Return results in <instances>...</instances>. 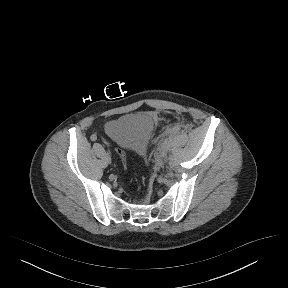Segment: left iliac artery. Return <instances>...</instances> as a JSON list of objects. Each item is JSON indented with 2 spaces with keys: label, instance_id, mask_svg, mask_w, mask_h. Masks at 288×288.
<instances>
[{
  "label": "left iliac artery",
  "instance_id": "obj_1",
  "mask_svg": "<svg viewBox=\"0 0 288 288\" xmlns=\"http://www.w3.org/2000/svg\"><path fill=\"white\" fill-rule=\"evenodd\" d=\"M166 144H167V139H164V141H163L162 144H161V148H160L161 151H164V150H165Z\"/></svg>",
  "mask_w": 288,
  "mask_h": 288
}]
</instances>
